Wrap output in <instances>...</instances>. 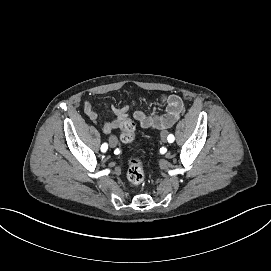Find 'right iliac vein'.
<instances>
[{
	"mask_svg": "<svg viewBox=\"0 0 271 271\" xmlns=\"http://www.w3.org/2000/svg\"><path fill=\"white\" fill-rule=\"evenodd\" d=\"M118 144V139L115 136L110 137L109 139V145L111 147H116Z\"/></svg>",
	"mask_w": 271,
	"mask_h": 271,
	"instance_id": "right-iliac-vein-1",
	"label": "right iliac vein"
}]
</instances>
